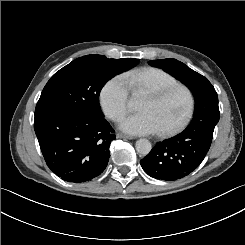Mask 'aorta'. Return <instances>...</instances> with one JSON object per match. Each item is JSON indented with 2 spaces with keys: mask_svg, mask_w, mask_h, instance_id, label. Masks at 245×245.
I'll use <instances>...</instances> for the list:
<instances>
[{
  "mask_svg": "<svg viewBox=\"0 0 245 245\" xmlns=\"http://www.w3.org/2000/svg\"><path fill=\"white\" fill-rule=\"evenodd\" d=\"M136 151L141 155H148L152 149L151 142L147 139H139L135 144Z\"/></svg>",
  "mask_w": 245,
  "mask_h": 245,
  "instance_id": "1",
  "label": "aorta"
}]
</instances>
